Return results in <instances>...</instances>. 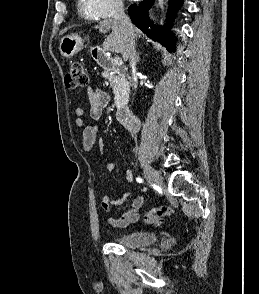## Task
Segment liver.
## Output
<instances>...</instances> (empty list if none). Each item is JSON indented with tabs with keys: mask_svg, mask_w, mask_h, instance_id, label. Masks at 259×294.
I'll list each match as a JSON object with an SVG mask.
<instances>
[{
	"mask_svg": "<svg viewBox=\"0 0 259 294\" xmlns=\"http://www.w3.org/2000/svg\"><path fill=\"white\" fill-rule=\"evenodd\" d=\"M99 32L106 33L111 30V33L106 37L103 43V51L120 53L124 61L129 59L127 39L125 32L120 27V24L113 19L103 20L95 27ZM135 37H142V32L134 27Z\"/></svg>",
	"mask_w": 259,
	"mask_h": 294,
	"instance_id": "obj_1",
	"label": "liver"
}]
</instances>
